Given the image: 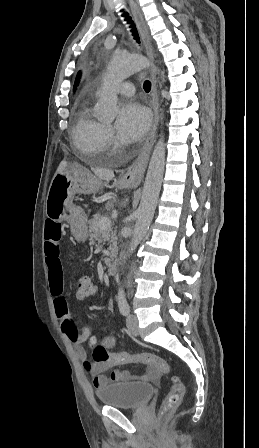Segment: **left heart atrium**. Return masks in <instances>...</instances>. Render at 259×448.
Segmentation results:
<instances>
[{"mask_svg":"<svg viewBox=\"0 0 259 448\" xmlns=\"http://www.w3.org/2000/svg\"><path fill=\"white\" fill-rule=\"evenodd\" d=\"M150 123L147 109L137 101H129L121 106L117 131L122 141L130 143L140 140Z\"/></svg>","mask_w":259,"mask_h":448,"instance_id":"obj_1","label":"left heart atrium"}]
</instances>
